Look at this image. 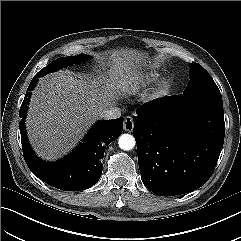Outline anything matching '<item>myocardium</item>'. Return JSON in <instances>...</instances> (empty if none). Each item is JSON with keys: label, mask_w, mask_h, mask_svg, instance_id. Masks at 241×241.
Here are the masks:
<instances>
[{"label": "myocardium", "mask_w": 241, "mask_h": 241, "mask_svg": "<svg viewBox=\"0 0 241 241\" xmlns=\"http://www.w3.org/2000/svg\"><path fill=\"white\" fill-rule=\"evenodd\" d=\"M171 84L168 80H162L155 89V95L158 97L166 95L170 90Z\"/></svg>", "instance_id": "obj_1"}]
</instances>
